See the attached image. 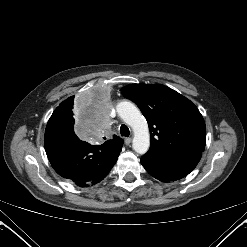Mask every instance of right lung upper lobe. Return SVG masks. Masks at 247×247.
Returning <instances> with one entry per match:
<instances>
[{"instance_id": "right-lung-upper-lobe-1", "label": "right lung upper lobe", "mask_w": 247, "mask_h": 247, "mask_svg": "<svg viewBox=\"0 0 247 247\" xmlns=\"http://www.w3.org/2000/svg\"><path fill=\"white\" fill-rule=\"evenodd\" d=\"M74 101V96L69 97L68 99H66L65 101H63L56 109L54 112L59 111L62 108H65L67 106H70L73 104ZM54 116V114H52L51 118ZM49 123H52L51 121H49ZM104 144H108L111 146H122L123 145V140L117 136H114V138L112 140H108L106 141Z\"/></svg>"}]
</instances>
